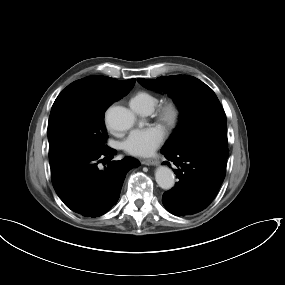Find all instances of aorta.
Instances as JSON below:
<instances>
[{
    "instance_id": "obj_1",
    "label": "aorta",
    "mask_w": 285,
    "mask_h": 285,
    "mask_svg": "<svg viewBox=\"0 0 285 285\" xmlns=\"http://www.w3.org/2000/svg\"><path fill=\"white\" fill-rule=\"evenodd\" d=\"M107 125L116 131L129 130L134 122V114L127 108L122 106L110 107L106 112ZM155 179L159 187L164 190H170L174 187L175 176L173 171L166 166H160L156 169Z\"/></svg>"
}]
</instances>
